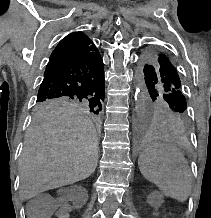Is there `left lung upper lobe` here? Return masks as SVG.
<instances>
[{"label": "left lung upper lobe", "mask_w": 211, "mask_h": 218, "mask_svg": "<svg viewBox=\"0 0 211 218\" xmlns=\"http://www.w3.org/2000/svg\"><path fill=\"white\" fill-rule=\"evenodd\" d=\"M141 76L147 87V100L141 109L144 121H156L172 130L185 131L187 103L179 74L162 51L153 48L142 56Z\"/></svg>", "instance_id": "left-lung-upper-lobe-1"}]
</instances>
